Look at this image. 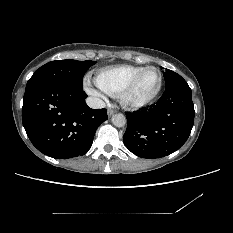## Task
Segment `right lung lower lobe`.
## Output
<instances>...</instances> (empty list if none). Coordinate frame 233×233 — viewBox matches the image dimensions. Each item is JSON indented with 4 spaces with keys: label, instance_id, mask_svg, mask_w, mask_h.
Wrapping results in <instances>:
<instances>
[{
    "label": "right lung lower lobe",
    "instance_id": "obj_1",
    "mask_svg": "<svg viewBox=\"0 0 233 233\" xmlns=\"http://www.w3.org/2000/svg\"><path fill=\"white\" fill-rule=\"evenodd\" d=\"M86 93L60 82L40 83L25 90L22 122L32 144L55 159L84 155L95 132L108 119L106 109H91Z\"/></svg>",
    "mask_w": 233,
    "mask_h": 233
}]
</instances>
